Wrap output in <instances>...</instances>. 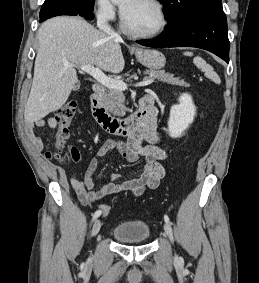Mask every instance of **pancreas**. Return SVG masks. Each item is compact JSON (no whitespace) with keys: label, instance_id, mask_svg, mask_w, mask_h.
Here are the masks:
<instances>
[{"label":"pancreas","instance_id":"obj_1","mask_svg":"<svg viewBox=\"0 0 259 283\" xmlns=\"http://www.w3.org/2000/svg\"><path fill=\"white\" fill-rule=\"evenodd\" d=\"M145 74H149L150 78L158 79L162 82L171 85H177L181 87H188L189 84L182 79L173 77L172 74L166 73L161 70H147ZM133 76H131L132 78ZM129 80V79H128ZM125 101V95L123 91L118 89L108 88L107 93L103 97L104 106L107 110L112 113L114 116H124L125 111L123 103Z\"/></svg>","mask_w":259,"mask_h":283}]
</instances>
